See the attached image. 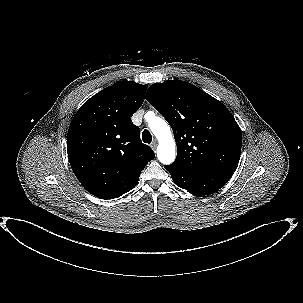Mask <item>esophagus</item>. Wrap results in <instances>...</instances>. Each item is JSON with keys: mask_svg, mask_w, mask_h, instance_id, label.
Returning <instances> with one entry per match:
<instances>
[{"mask_svg": "<svg viewBox=\"0 0 303 303\" xmlns=\"http://www.w3.org/2000/svg\"><path fill=\"white\" fill-rule=\"evenodd\" d=\"M157 144H158L157 140H154V141L151 143V148H152L153 150H156Z\"/></svg>", "mask_w": 303, "mask_h": 303, "instance_id": "obj_1", "label": "esophagus"}]
</instances>
